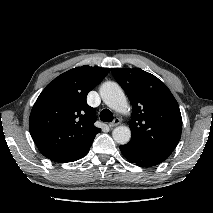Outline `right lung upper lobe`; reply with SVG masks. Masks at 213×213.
I'll list each match as a JSON object with an SVG mask.
<instances>
[{
    "label": "right lung upper lobe",
    "instance_id": "1",
    "mask_svg": "<svg viewBox=\"0 0 213 213\" xmlns=\"http://www.w3.org/2000/svg\"><path fill=\"white\" fill-rule=\"evenodd\" d=\"M108 72V68L76 67L41 92L30 114L29 130L44 156L73 153L93 142L101 129L94 126L95 111L86 97Z\"/></svg>",
    "mask_w": 213,
    "mask_h": 213
}]
</instances>
